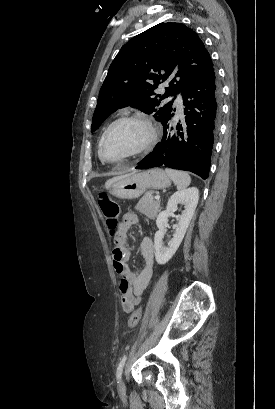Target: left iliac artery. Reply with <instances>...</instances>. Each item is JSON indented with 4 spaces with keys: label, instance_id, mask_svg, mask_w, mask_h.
Instances as JSON below:
<instances>
[{
    "label": "left iliac artery",
    "instance_id": "1",
    "mask_svg": "<svg viewBox=\"0 0 275 409\" xmlns=\"http://www.w3.org/2000/svg\"><path fill=\"white\" fill-rule=\"evenodd\" d=\"M126 359H127V355H124V356L122 357V359H121V361H120L118 367H117L116 376H117V379H118V380L121 379V375H122V372H123V367H124V365H125Z\"/></svg>",
    "mask_w": 275,
    "mask_h": 409
}]
</instances>
